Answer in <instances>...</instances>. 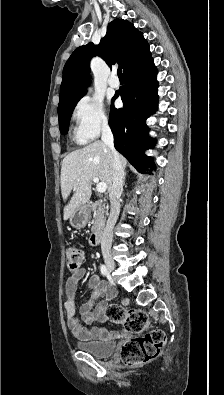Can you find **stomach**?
Listing matches in <instances>:
<instances>
[{
	"mask_svg": "<svg viewBox=\"0 0 224 395\" xmlns=\"http://www.w3.org/2000/svg\"><path fill=\"white\" fill-rule=\"evenodd\" d=\"M89 220L90 209L86 205L77 208L69 217L70 225L77 229L85 227Z\"/></svg>",
	"mask_w": 224,
	"mask_h": 395,
	"instance_id": "stomach-1",
	"label": "stomach"
}]
</instances>
